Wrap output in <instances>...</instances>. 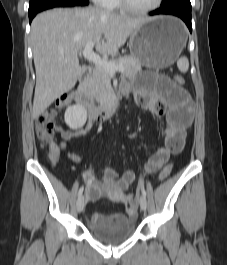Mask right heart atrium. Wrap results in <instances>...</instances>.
Returning <instances> with one entry per match:
<instances>
[{
    "mask_svg": "<svg viewBox=\"0 0 227 265\" xmlns=\"http://www.w3.org/2000/svg\"><path fill=\"white\" fill-rule=\"evenodd\" d=\"M92 1L97 5L108 9L111 0H92Z\"/></svg>",
    "mask_w": 227,
    "mask_h": 265,
    "instance_id": "right-heart-atrium-1",
    "label": "right heart atrium"
}]
</instances>
